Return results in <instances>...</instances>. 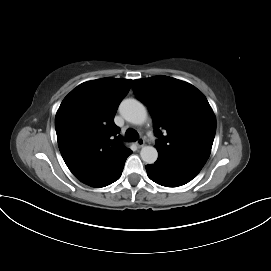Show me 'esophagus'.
<instances>
[{
    "label": "esophagus",
    "instance_id": "34e87169",
    "mask_svg": "<svg viewBox=\"0 0 271 271\" xmlns=\"http://www.w3.org/2000/svg\"><path fill=\"white\" fill-rule=\"evenodd\" d=\"M136 145L141 148L145 145V140L143 138H139L137 141H136Z\"/></svg>",
    "mask_w": 271,
    "mask_h": 271
}]
</instances>
